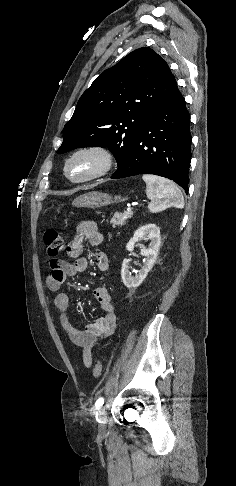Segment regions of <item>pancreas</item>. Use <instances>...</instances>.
Returning <instances> with one entry per match:
<instances>
[{
	"mask_svg": "<svg viewBox=\"0 0 236 486\" xmlns=\"http://www.w3.org/2000/svg\"><path fill=\"white\" fill-rule=\"evenodd\" d=\"M133 216V212H126V213H115L114 216L111 218L110 223L112 227L115 228L116 226H122L125 224L126 220Z\"/></svg>",
	"mask_w": 236,
	"mask_h": 486,
	"instance_id": "obj_1",
	"label": "pancreas"
}]
</instances>
